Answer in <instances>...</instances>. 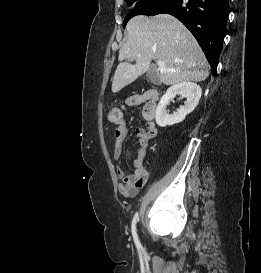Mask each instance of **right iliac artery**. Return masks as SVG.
Listing matches in <instances>:
<instances>
[{
    "instance_id": "82829eb1",
    "label": "right iliac artery",
    "mask_w": 261,
    "mask_h": 273,
    "mask_svg": "<svg viewBox=\"0 0 261 273\" xmlns=\"http://www.w3.org/2000/svg\"><path fill=\"white\" fill-rule=\"evenodd\" d=\"M138 221V212L135 213L133 221H132V235L134 238V242L137 247H140V241L138 239L137 233H136V223Z\"/></svg>"
}]
</instances>
